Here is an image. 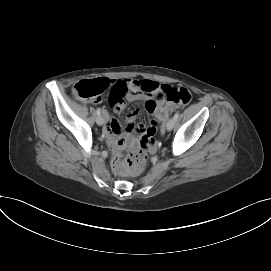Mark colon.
I'll return each instance as SVG.
<instances>
[{
    "mask_svg": "<svg viewBox=\"0 0 271 271\" xmlns=\"http://www.w3.org/2000/svg\"><path fill=\"white\" fill-rule=\"evenodd\" d=\"M109 84V80L105 78L82 80L74 85L73 93L80 99L97 100L107 90ZM158 97L179 106L187 105L191 100V94L186 88L168 85L164 87ZM156 129L157 123L153 121L147 133L142 137L140 147L132 149L124 156L114 155L112 166L117 173L136 175L144 169L147 162V151L155 145L153 135Z\"/></svg>",
    "mask_w": 271,
    "mask_h": 271,
    "instance_id": "colon-1",
    "label": "colon"
}]
</instances>
